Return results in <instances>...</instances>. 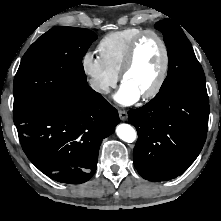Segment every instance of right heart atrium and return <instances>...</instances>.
<instances>
[{"label":"right heart atrium","mask_w":221,"mask_h":221,"mask_svg":"<svg viewBox=\"0 0 221 221\" xmlns=\"http://www.w3.org/2000/svg\"><path fill=\"white\" fill-rule=\"evenodd\" d=\"M81 65L90 87L96 93L104 95L117 83L118 76L105 65L100 56L87 52L82 57Z\"/></svg>","instance_id":"obj_1"}]
</instances>
